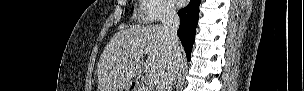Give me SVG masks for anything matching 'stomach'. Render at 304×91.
Masks as SVG:
<instances>
[{
  "mask_svg": "<svg viewBox=\"0 0 304 91\" xmlns=\"http://www.w3.org/2000/svg\"><path fill=\"white\" fill-rule=\"evenodd\" d=\"M129 87L128 86H126V87H123V89L121 90V91H129Z\"/></svg>",
  "mask_w": 304,
  "mask_h": 91,
  "instance_id": "obj_1",
  "label": "stomach"
}]
</instances>
